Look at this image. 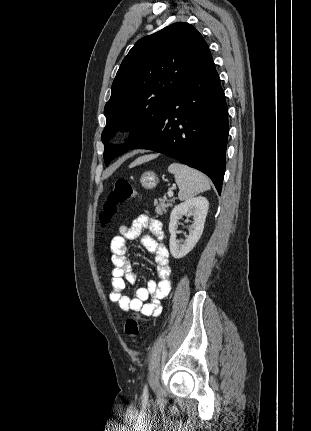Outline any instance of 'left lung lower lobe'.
<instances>
[{
	"instance_id": "1",
	"label": "left lung lower lobe",
	"mask_w": 311,
	"mask_h": 431,
	"mask_svg": "<svg viewBox=\"0 0 311 431\" xmlns=\"http://www.w3.org/2000/svg\"><path fill=\"white\" fill-rule=\"evenodd\" d=\"M228 132L225 95L208 51L151 136L135 149L153 150L202 171L220 194Z\"/></svg>"
}]
</instances>
